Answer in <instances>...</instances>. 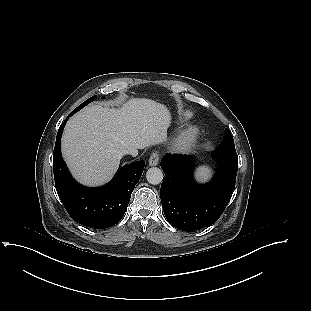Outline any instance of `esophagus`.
<instances>
[{
    "label": "esophagus",
    "mask_w": 311,
    "mask_h": 311,
    "mask_svg": "<svg viewBox=\"0 0 311 311\" xmlns=\"http://www.w3.org/2000/svg\"><path fill=\"white\" fill-rule=\"evenodd\" d=\"M159 162V154L157 151H154L149 158V166H156Z\"/></svg>",
    "instance_id": "obj_1"
}]
</instances>
